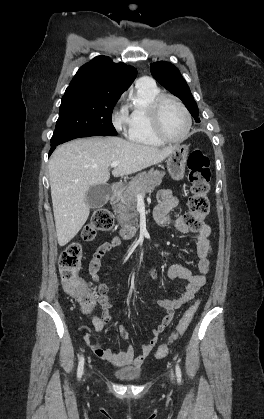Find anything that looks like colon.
Listing matches in <instances>:
<instances>
[{
	"label": "colon",
	"instance_id": "1",
	"mask_svg": "<svg viewBox=\"0 0 264 419\" xmlns=\"http://www.w3.org/2000/svg\"><path fill=\"white\" fill-rule=\"evenodd\" d=\"M188 180L190 183V197L188 212L183 216L184 223L192 231H199L203 226V219L209 212L210 202V169L208 158L199 150L190 153L187 161ZM114 218L107 209L95 211L90 222L84 229L85 239H93L98 233L108 232L114 228ZM82 249L79 244H71L62 251L59 258L60 277L65 291L75 297L83 313L90 314L96 306V296L80 276ZM198 302L191 305L173 332L170 343L180 338L188 329L198 309ZM169 352V344L161 345L155 352L157 359L164 358Z\"/></svg>",
	"mask_w": 264,
	"mask_h": 419
}]
</instances>
